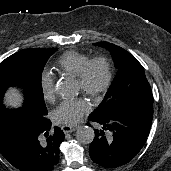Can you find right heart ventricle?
Segmentation results:
<instances>
[{
	"instance_id": "obj_1",
	"label": "right heart ventricle",
	"mask_w": 171,
	"mask_h": 171,
	"mask_svg": "<svg viewBox=\"0 0 171 171\" xmlns=\"http://www.w3.org/2000/svg\"><path fill=\"white\" fill-rule=\"evenodd\" d=\"M89 60L90 57L87 54L69 51L58 59L57 68L64 74L77 77Z\"/></svg>"
}]
</instances>
